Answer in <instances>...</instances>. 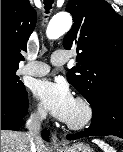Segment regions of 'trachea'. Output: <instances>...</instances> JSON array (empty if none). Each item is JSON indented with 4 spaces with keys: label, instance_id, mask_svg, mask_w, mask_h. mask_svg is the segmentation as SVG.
<instances>
[{
    "label": "trachea",
    "instance_id": "1",
    "mask_svg": "<svg viewBox=\"0 0 123 152\" xmlns=\"http://www.w3.org/2000/svg\"><path fill=\"white\" fill-rule=\"evenodd\" d=\"M53 3H54V0H44L46 13H49V10L52 8Z\"/></svg>",
    "mask_w": 123,
    "mask_h": 152
}]
</instances>
